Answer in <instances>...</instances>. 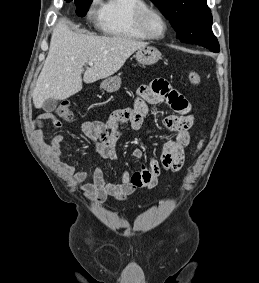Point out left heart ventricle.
<instances>
[{
    "label": "left heart ventricle",
    "mask_w": 259,
    "mask_h": 283,
    "mask_svg": "<svg viewBox=\"0 0 259 283\" xmlns=\"http://www.w3.org/2000/svg\"><path fill=\"white\" fill-rule=\"evenodd\" d=\"M150 30L156 36H161L165 31L164 23L158 17H152L150 20Z\"/></svg>",
    "instance_id": "left-heart-ventricle-1"
}]
</instances>
